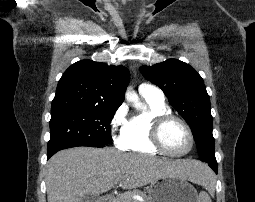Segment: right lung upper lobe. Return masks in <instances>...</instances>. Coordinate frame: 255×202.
Listing matches in <instances>:
<instances>
[{
    "label": "right lung upper lobe",
    "instance_id": "right-lung-upper-lobe-1",
    "mask_svg": "<svg viewBox=\"0 0 255 202\" xmlns=\"http://www.w3.org/2000/svg\"><path fill=\"white\" fill-rule=\"evenodd\" d=\"M129 78L124 66L78 61L59 80L51 114L92 107L118 108L124 101Z\"/></svg>",
    "mask_w": 255,
    "mask_h": 202
}]
</instances>
